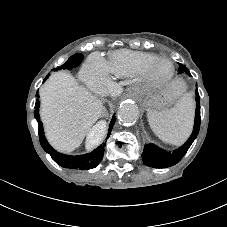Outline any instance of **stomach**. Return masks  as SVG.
<instances>
[{
    "mask_svg": "<svg viewBox=\"0 0 227 227\" xmlns=\"http://www.w3.org/2000/svg\"><path fill=\"white\" fill-rule=\"evenodd\" d=\"M170 92L171 94L169 96H166L165 94L164 95H160V96H157V97H154L152 98L151 100H149L147 102V105L149 107H152V108H155V109H161L163 108L167 102H170V99L169 97L172 95L173 91L170 90L168 91Z\"/></svg>",
    "mask_w": 227,
    "mask_h": 227,
    "instance_id": "stomach-1",
    "label": "stomach"
}]
</instances>
